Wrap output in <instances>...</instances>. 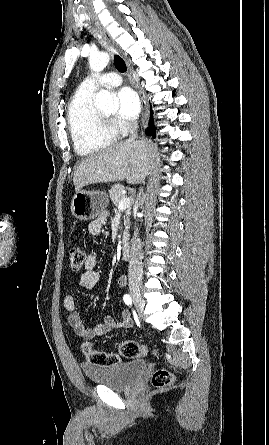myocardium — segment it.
Wrapping results in <instances>:
<instances>
[{"label":"myocardium","mask_w":269,"mask_h":445,"mask_svg":"<svg viewBox=\"0 0 269 445\" xmlns=\"http://www.w3.org/2000/svg\"><path fill=\"white\" fill-rule=\"evenodd\" d=\"M105 123H109V118L106 116H101Z\"/></svg>","instance_id":"f54148a6"}]
</instances>
